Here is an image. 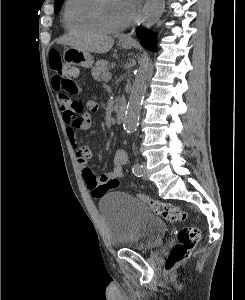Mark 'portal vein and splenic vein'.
Masks as SVG:
<instances>
[{"label":"portal vein and splenic vein","instance_id":"18ae733b","mask_svg":"<svg viewBox=\"0 0 245 300\" xmlns=\"http://www.w3.org/2000/svg\"><path fill=\"white\" fill-rule=\"evenodd\" d=\"M111 77H112V74L109 73V74L107 75V78H108V79H111Z\"/></svg>","mask_w":245,"mask_h":300}]
</instances>
